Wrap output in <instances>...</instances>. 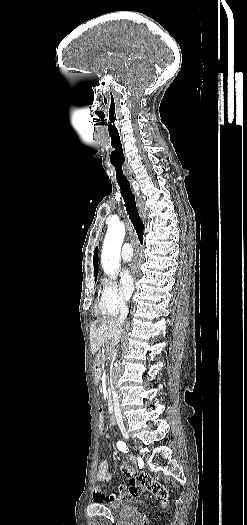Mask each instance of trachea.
I'll return each instance as SVG.
<instances>
[{
  "label": "trachea",
  "mask_w": 247,
  "mask_h": 525,
  "mask_svg": "<svg viewBox=\"0 0 247 525\" xmlns=\"http://www.w3.org/2000/svg\"><path fill=\"white\" fill-rule=\"evenodd\" d=\"M117 183L119 184L121 195L124 199L127 214L135 228L140 244L143 245V236H144L145 227H144L143 220L140 217L138 208L136 206V198L132 192L130 183L128 181L117 182Z\"/></svg>",
  "instance_id": "obj_1"
}]
</instances>
